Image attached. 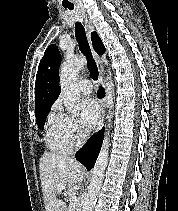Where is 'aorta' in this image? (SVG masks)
I'll use <instances>...</instances> for the list:
<instances>
[{
  "label": "aorta",
  "instance_id": "1",
  "mask_svg": "<svg viewBox=\"0 0 178 211\" xmlns=\"http://www.w3.org/2000/svg\"><path fill=\"white\" fill-rule=\"evenodd\" d=\"M86 63L84 56H74L67 58L61 67L60 72V87L64 98V105L68 111L76 114L80 110V92L77 88V76L79 70ZM106 106L107 114V129L103 140L102 148L96 160L95 166L92 169V177L82 211H93V207L97 200L98 192L101 188L104 179V172L108 163L109 146H110V129L112 127L113 108H114V84L112 74L109 72L106 78Z\"/></svg>",
  "mask_w": 178,
  "mask_h": 211
}]
</instances>
